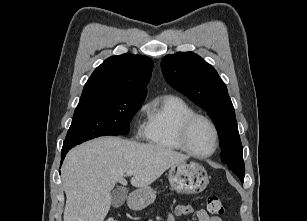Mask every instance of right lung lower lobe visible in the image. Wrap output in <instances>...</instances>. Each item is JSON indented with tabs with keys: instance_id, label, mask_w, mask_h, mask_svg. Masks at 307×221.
<instances>
[{
	"instance_id": "1",
	"label": "right lung lower lobe",
	"mask_w": 307,
	"mask_h": 221,
	"mask_svg": "<svg viewBox=\"0 0 307 221\" xmlns=\"http://www.w3.org/2000/svg\"><path fill=\"white\" fill-rule=\"evenodd\" d=\"M69 150H66V151H62L61 153H62V159H61V163L63 162V160H64V157H65V155L67 154V152H68Z\"/></svg>"
}]
</instances>
